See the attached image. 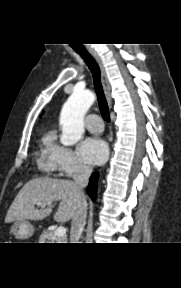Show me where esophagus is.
<instances>
[{
  "mask_svg": "<svg viewBox=\"0 0 181 288\" xmlns=\"http://www.w3.org/2000/svg\"><path fill=\"white\" fill-rule=\"evenodd\" d=\"M88 51L92 55V57L95 59V61L97 62L98 66L100 68L103 89H104V92H105V96H106L108 105H109V107H111V105H112L111 86H110V83H109V79H108L105 67H104L100 57L98 56V54L94 50L89 49Z\"/></svg>",
  "mask_w": 181,
  "mask_h": 288,
  "instance_id": "34e87169",
  "label": "esophagus"
}]
</instances>
